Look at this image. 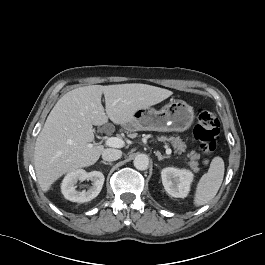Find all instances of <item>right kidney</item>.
Here are the masks:
<instances>
[{
  "label": "right kidney",
  "mask_w": 265,
  "mask_h": 265,
  "mask_svg": "<svg viewBox=\"0 0 265 265\" xmlns=\"http://www.w3.org/2000/svg\"><path fill=\"white\" fill-rule=\"evenodd\" d=\"M84 180H90L92 186H90L88 190L77 191V182ZM104 180V175L100 171L88 173L83 169H78L68 173L64 177L61 184V191L67 200L79 203L88 202L98 196L104 184Z\"/></svg>",
  "instance_id": "obj_1"
}]
</instances>
